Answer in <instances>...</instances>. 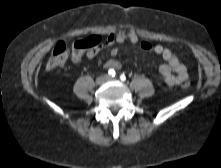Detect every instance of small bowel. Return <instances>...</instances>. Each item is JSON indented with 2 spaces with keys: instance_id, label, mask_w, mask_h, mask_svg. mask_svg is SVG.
<instances>
[{
  "instance_id": "obj_1",
  "label": "small bowel",
  "mask_w": 221,
  "mask_h": 168,
  "mask_svg": "<svg viewBox=\"0 0 221 168\" xmlns=\"http://www.w3.org/2000/svg\"><path fill=\"white\" fill-rule=\"evenodd\" d=\"M113 45V44H112ZM140 48L143 51H153L155 54L161 56L165 63L161 64L158 68L160 74L163 77L164 83L167 86H175L184 82L188 78V73L185 65L180 59L168 48L162 45H152L148 41H141ZM99 48L88 51L87 57L94 58L98 53ZM119 50L117 47H112L110 54L112 57L117 56ZM105 68L119 70L122 64L117 59H109L104 62Z\"/></svg>"
}]
</instances>
